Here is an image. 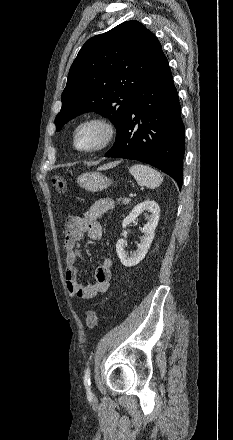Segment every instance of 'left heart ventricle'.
Returning a JSON list of instances; mask_svg holds the SVG:
<instances>
[{"label": "left heart ventricle", "mask_w": 233, "mask_h": 440, "mask_svg": "<svg viewBox=\"0 0 233 440\" xmlns=\"http://www.w3.org/2000/svg\"><path fill=\"white\" fill-rule=\"evenodd\" d=\"M104 137L103 129L95 124L86 125L78 133V145L90 149L99 145Z\"/></svg>", "instance_id": "b2bd125f"}]
</instances>
